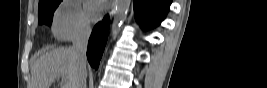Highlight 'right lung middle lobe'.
<instances>
[{
	"instance_id": "1",
	"label": "right lung middle lobe",
	"mask_w": 267,
	"mask_h": 88,
	"mask_svg": "<svg viewBox=\"0 0 267 88\" xmlns=\"http://www.w3.org/2000/svg\"><path fill=\"white\" fill-rule=\"evenodd\" d=\"M62 0H43L39 2L38 22L39 24L51 25L53 14Z\"/></svg>"
}]
</instances>
